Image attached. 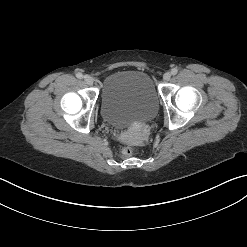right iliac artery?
<instances>
[{
    "instance_id": "1",
    "label": "right iliac artery",
    "mask_w": 247,
    "mask_h": 247,
    "mask_svg": "<svg viewBox=\"0 0 247 247\" xmlns=\"http://www.w3.org/2000/svg\"><path fill=\"white\" fill-rule=\"evenodd\" d=\"M76 77L79 78V79H82L83 75H82V73L78 72V73H76Z\"/></svg>"
}]
</instances>
